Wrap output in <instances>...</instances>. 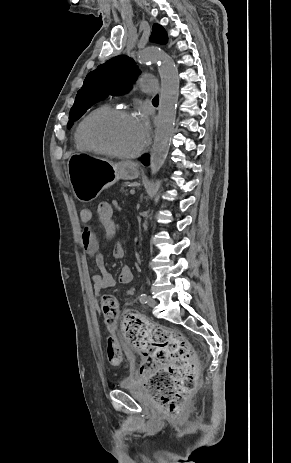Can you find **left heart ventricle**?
<instances>
[{
  "label": "left heart ventricle",
  "mask_w": 291,
  "mask_h": 463,
  "mask_svg": "<svg viewBox=\"0 0 291 463\" xmlns=\"http://www.w3.org/2000/svg\"><path fill=\"white\" fill-rule=\"evenodd\" d=\"M91 138L110 148L130 153L144 142L133 117H118L94 124L90 129Z\"/></svg>",
  "instance_id": "obj_1"
}]
</instances>
